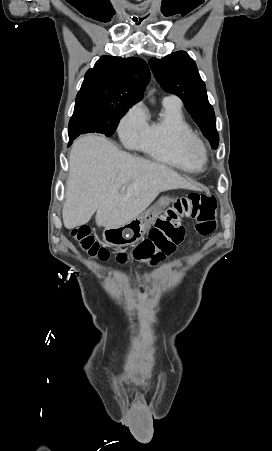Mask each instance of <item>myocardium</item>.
I'll return each instance as SVG.
<instances>
[{
  "instance_id": "f54148a6",
  "label": "myocardium",
  "mask_w": 272,
  "mask_h": 451,
  "mask_svg": "<svg viewBox=\"0 0 272 451\" xmlns=\"http://www.w3.org/2000/svg\"><path fill=\"white\" fill-rule=\"evenodd\" d=\"M176 138L182 143L183 155L192 165L193 171H201L209 162V153L204 143L195 136L190 138H182L177 135ZM198 157H200L199 163H197Z\"/></svg>"
}]
</instances>
